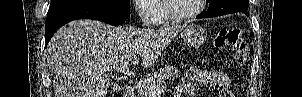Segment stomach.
<instances>
[{
  "label": "stomach",
  "instance_id": "0dacf381",
  "mask_svg": "<svg viewBox=\"0 0 302 97\" xmlns=\"http://www.w3.org/2000/svg\"><path fill=\"white\" fill-rule=\"evenodd\" d=\"M181 37L188 46L198 47L204 44L206 32L199 25L189 24L184 27Z\"/></svg>",
  "mask_w": 302,
  "mask_h": 97
}]
</instances>
